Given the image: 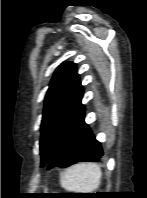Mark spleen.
I'll return each instance as SVG.
<instances>
[{"instance_id": "3e777b00", "label": "spleen", "mask_w": 147, "mask_h": 198, "mask_svg": "<svg viewBox=\"0 0 147 198\" xmlns=\"http://www.w3.org/2000/svg\"><path fill=\"white\" fill-rule=\"evenodd\" d=\"M101 169L95 163H80L65 170L61 186L73 193H92L100 184Z\"/></svg>"}]
</instances>
